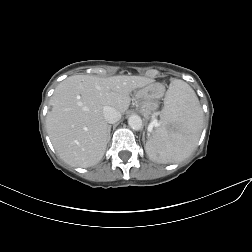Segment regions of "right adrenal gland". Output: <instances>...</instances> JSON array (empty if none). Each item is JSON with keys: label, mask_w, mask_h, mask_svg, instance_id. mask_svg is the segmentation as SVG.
<instances>
[{"label": "right adrenal gland", "mask_w": 252, "mask_h": 252, "mask_svg": "<svg viewBox=\"0 0 252 252\" xmlns=\"http://www.w3.org/2000/svg\"><path fill=\"white\" fill-rule=\"evenodd\" d=\"M111 125H109V138H110V132H111Z\"/></svg>", "instance_id": "2a0ac1e0"}]
</instances>
